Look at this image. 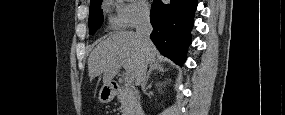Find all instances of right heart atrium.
<instances>
[{
  "label": "right heart atrium",
  "instance_id": "obj_1",
  "mask_svg": "<svg viewBox=\"0 0 285 115\" xmlns=\"http://www.w3.org/2000/svg\"><path fill=\"white\" fill-rule=\"evenodd\" d=\"M149 18V8L146 1H117L115 24L118 27L133 28L145 23Z\"/></svg>",
  "mask_w": 285,
  "mask_h": 115
}]
</instances>
